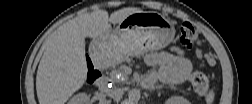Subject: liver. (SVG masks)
<instances>
[{
	"label": "liver",
	"mask_w": 252,
	"mask_h": 104,
	"mask_svg": "<svg viewBox=\"0 0 252 104\" xmlns=\"http://www.w3.org/2000/svg\"><path fill=\"white\" fill-rule=\"evenodd\" d=\"M141 9L127 7L109 16L97 9L60 26L50 37L36 75V91L41 104H64L85 83L87 62L85 38H98Z\"/></svg>",
	"instance_id": "1"
}]
</instances>
